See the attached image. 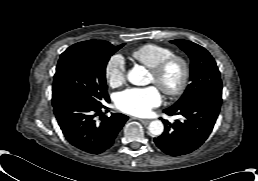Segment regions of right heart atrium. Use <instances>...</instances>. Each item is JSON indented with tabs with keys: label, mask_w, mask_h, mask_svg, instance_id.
<instances>
[{
	"label": "right heart atrium",
	"mask_w": 258,
	"mask_h": 181,
	"mask_svg": "<svg viewBox=\"0 0 258 181\" xmlns=\"http://www.w3.org/2000/svg\"><path fill=\"white\" fill-rule=\"evenodd\" d=\"M105 76L112 86L122 84L126 79V65L121 55H113L106 64Z\"/></svg>",
	"instance_id": "d8ad5b80"
}]
</instances>
